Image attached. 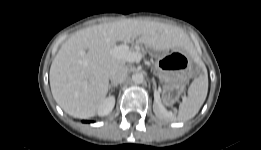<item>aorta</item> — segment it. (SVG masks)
Returning <instances> with one entry per match:
<instances>
[{
  "mask_svg": "<svg viewBox=\"0 0 261 150\" xmlns=\"http://www.w3.org/2000/svg\"><path fill=\"white\" fill-rule=\"evenodd\" d=\"M132 80L135 84H141L144 81V75L142 73H136L133 75Z\"/></svg>",
  "mask_w": 261,
  "mask_h": 150,
  "instance_id": "762f6f07",
  "label": "aorta"
}]
</instances>
